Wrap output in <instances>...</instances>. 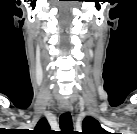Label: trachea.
Returning <instances> with one entry per match:
<instances>
[{"mask_svg": "<svg viewBox=\"0 0 137 134\" xmlns=\"http://www.w3.org/2000/svg\"><path fill=\"white\" fill-rule=\"evenodd\" d=\"M60 128L62 132H71L73 129L72 118L69 112L63 113L60 116Z\"/></svg>", "mask_w": 137, "mask_h": 134, "instance_id": "obj_1", "label": "trachea"}]
</instances>
